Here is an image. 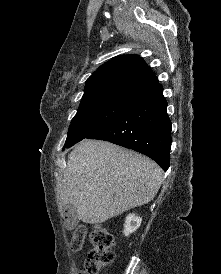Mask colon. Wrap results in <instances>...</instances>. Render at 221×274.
<instances>
[{"label": "colon", "mask_w": 221, "mask_h": 274, "mask_svg": "<svg viewBox=\"0 0 221 274\" xmlns=\"http://www.w3.org/2000/svg\"><path fill=\"white\" fill-rule=\"evenodd\" d=\"M85 237L86 230L80 226L76 227L71 240L72 249L80 250ZM89 239L92 247L85 262V269L81 274H99L100 270L113 260L112 246L114 238L107 228L96 225L89 233Z\"/></svg>", "instance_id": "colon-1"}]
</instances>
